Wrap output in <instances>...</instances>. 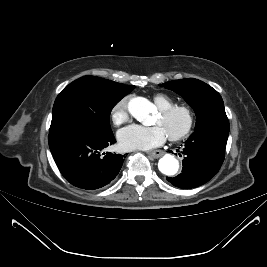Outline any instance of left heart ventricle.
Returning a JSON list of instances; mask_svg holds the SVG:
<instances>
[{
    "label": "left heart ventricle",
    "instance_id": "obj_1",
    "mask_svg": "<svg viewBox=\"0 0 267 267\" xmlns=\"http://www.w3.org/2000/svg\"><path fill=\"white\" fill-rule=\"evenodd\" d=\"M156 125L161 126L167 135L180 132L185 125V117L181 113H176L169 118H163L160 114L157 116Z\"/></svg>",
    "mask_w": 267,
    "mask_h": 267
}]
</instances>
